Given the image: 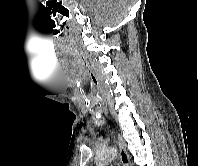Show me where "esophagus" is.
<instances>
[{"mask_svg": "<svg viewBox=\"0 0 198 166\" xmlns=\"http://www.w3.org/2000/svg\"><path fill=\"white\" fill-rule=\"evenodd\" d=\"M119 157L123 166H130V158L126 150V145L123 138L118 135Z\"/></svg>", "mask_w": 198, "mask_h": 166, "instance_id": "obj_1", "label": "esophagus"}]
</instances>
